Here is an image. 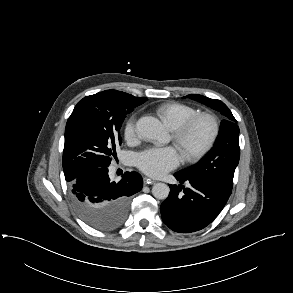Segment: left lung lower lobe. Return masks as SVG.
Masks as SVG:
<instances>
[{
    "label": "left lung lower lobe",
    "mask_w": 293,
    "mask_h": 293,
    "mask_svg": "<svg viewBox=\"0 0 293 293\" xmlns=\"http://www.w3.org/2000/svg\"><path fill=\"white\" fill-rule=\"evenodd\" d=\"M180 185H170V193L161 204L163 222L173 231L191 233L209 225L227 203L232 189L215 181L174 174ZM191 184L185 188L184 182Z\"/></svg>",
    "instance_id": "obj_1"
}]
</instances>
